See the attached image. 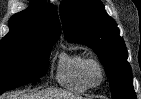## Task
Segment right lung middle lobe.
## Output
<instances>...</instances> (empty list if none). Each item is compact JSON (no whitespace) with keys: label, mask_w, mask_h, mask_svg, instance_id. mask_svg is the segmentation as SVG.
<instances>
[{"label":"right lung middle lobe","mask_w":141,"mask_h":99,"mask_svg":"<svg viewBox=\"0 0 141 99\" xmlns=\"http://www.w3.org/2000/svg\"><path fill=\"white\" fill-rule=\"evenodd\" d=\"M54 44L2 39L0 41V94L44 76Z\"/></svg>","instance_id":"dd1d6c3e"}]
</instances>
